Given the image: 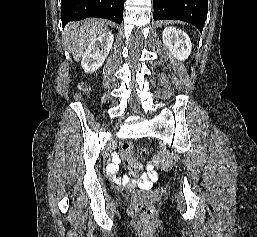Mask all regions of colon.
<instances>
[{
  "instance_id": "5ec220e1",
  "label": "colon",
  "mask_w": 257,
  "mask_h": 237,
  "mask_svg": "<svg viewBox=\"0 0 257 237\" xmlns=\"http://www.w3.org/2000/svg\"><path fill=\"white\" fill-rule=\"evenodd\" d=\"M131 149L132 148H131L130 145H126L124 147V153H125L126 156L129 155ZM154 161H155L157 167L161 170L167 169L169 167V164H170L168 156L165 153H162V152L155 154ZM127 165H128V168H129L130 172L133 175H140L141 174L142 166H141L140 163L132 161L130 159H127ZM136 210H137V213L139 214V216L144 220H151L154 216L151 201H150L149 197H147V196H143L138 201Z\"/></svg>"
}]
</instances>
